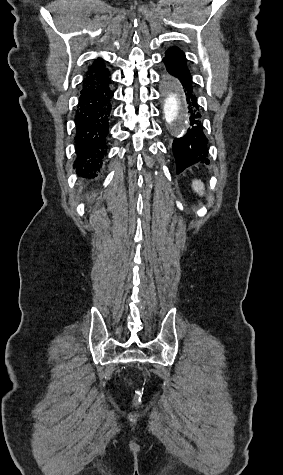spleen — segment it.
I'll return each mask as SVG.
<instances>
[{"instance_id":"3e777b00","label":"spleen","mask_w":283,"mask_h":475,"mask_svg":"<svg viewBox=\"0 0 283 475\" xmlns=\"http://www.w3.org/2000/svg\"><path fill=\"white\" fill-rule=\"evenodd\" d=\"M192 190H194L196 194H199V196H204L205 186L201 180H193Z\"/></svg>"}]
</instances>
